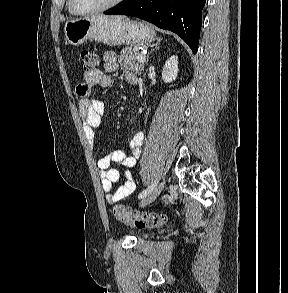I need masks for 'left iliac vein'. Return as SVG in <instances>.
I'll return each instance as SVG.
<instances>
[{"label": "left iliac vein", "mask_w": 288, "mask_h": 293, "mask_svg": "<svg viewBox=\"0 0 288 293\" xmlns=\"http://www.w3.org/2000/svg\"><path fill=\"white\" fill-rule=\"evenodd\" d=\"M165 180L159 183L151 192H149L141 201L140 206L144 207L154 201L165 187Z\"/></svg>", "instance_id": "left-iliac-vein-1"}]
</instances>
